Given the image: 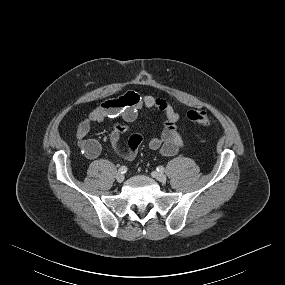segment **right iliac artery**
<instances>
[{
	"label": "right iliac artery",
	"mask_w": 285,
	"mask_h": 285,
	"mask_svg": "<svg viewBox=\"0 0 285 285\" xmlns=\"http://www.w3.org/2000/svg\"><path fill=\"white\" fill-rule=\"evenodd\" d=\"M119 172L122 173V174L126 173L127 172V167L126 166H121L119 168Z\"/></svg>",
	"instance_id": "obj_1"
}]
</instances>
